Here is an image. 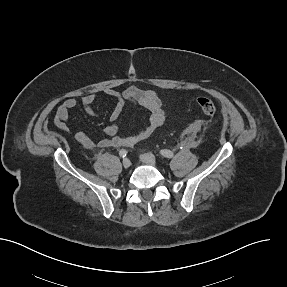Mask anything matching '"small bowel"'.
I'll return each mask as SVG.
<instances>
[{
	"label": "small bowel",
	"instance_id": "small-bowel-1",
	"mask_svg": "<svg viewBox=\"0 0 287 287\" xmlns=\"http://www.w3.org/2000/svg\"><path fill=\"white\" fill-rule=\"evenodd\" d=\"M104 93L116 100V106L110 114V124L105 127V138L99 141H94L85 130H78L74 138L82 147L90 149L94 147L99 148H115V147H132L136 143L150 137L155 130H157L165 121V102L154 91L142 90L135 86H130L122 91L115 89H105ZM95 94H87L80 98V103L88 114H94L93 103L95 101ZM127 104L134 106H141L147 110L149 114L148 123L137 134L118 136L119 122L125 111ZM77 105L74 98H67L57 109L55 115V123L57 127L69 133V117L70 111Z\"/></svg>",
	"mask_w": 287,
	"mask_h": 287
}]
</instances>
